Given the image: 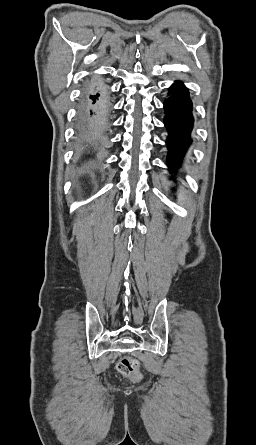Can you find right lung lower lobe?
<instances>
[{"mask_svg":"<svg viewBox=\"0 0 256 445\" xmlns=\"http://www.w3.org/2000/svg\"><path fill=\"white\" fill-rule=\"evenodd\" d=\"M108 115L107 91L102 84L92 83L85 89L79 108L80 132L87 137L90 147L104 143Z\"/></svg>","mask_w":256,"mask_h":445,"instance_id":"right-lung-lower-lobe-1","label":"right lung lower lobe"}]
</instances>
